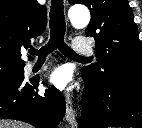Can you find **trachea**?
I'll list each match as a JSON object with an SVG mask.
<instances>
[{
  "mask_svg": "<svg viewBox=\"0 0 142 128\" xmlns=\"http://www.w3.org/2000/svg\"><path fill=\"white\" fill-rule=\"evenodd\" d=\"M63 0H52L50 17V39L48 43L41 49L30 48V54H36L39 58H45L48 54L55 49L71 57L89 60L88 57H83L75 53L65 42L64 35L66 30L64 12H63Z\"/></svg>",
  "mask_w": 142,
  "mask_h": 128,
  "instance_id": "1",
  "label": "trachea"
}]
</instances>
